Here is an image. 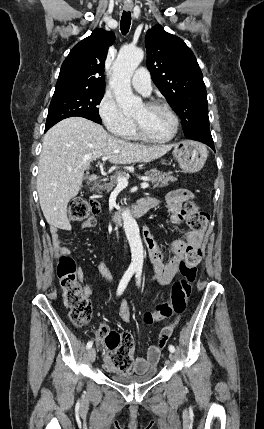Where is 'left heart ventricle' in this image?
<instances>
[{
  "instance_id": "left-heart-ventricle-1",
  "label": "left heart ventricle",
  "mask_w": 264,
  "mask_h": 429,
  "mask_svg": "<svg viewBox=\"0 0 264 429\" xmlns=\"http://www.w3.org/2000/svg\"><path fill=\"white\" fill-rule=\"evenodd\" d=\"M141 123L145 132L152 138L163 139L168 137L174 128L173 119L161 109H149L142 105L133 115Z\"/></svg>"
}]
</instances>
